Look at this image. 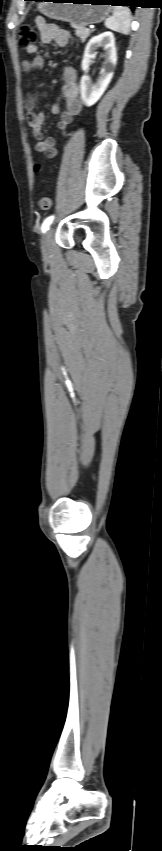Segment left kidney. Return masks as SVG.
<instances>
[{
  "label": "left kidney",
  "mask_w": 162,
  "mask_h": 851,
  "mask_svg": "<svg viewBox=\"0 0 162 851\" xmlns=\"http://www.w3.org/2000/svg\"><path fill=\"white\" fill-rule=\"evenodd\" d=\"M98 48L104 49L105 61L100 70V76L97 82L91 84L90 78L87 75H83L80 81L81 99L88 107L94 105L101 98L113 77L117 64L115 38L113 33L107 31L91 38L87 43L81 63V68L85 73L95 58Z\"/></svg>",
  "instance_id": "5707ae66"
}]
</instances>
